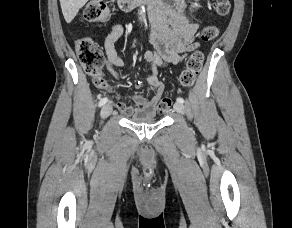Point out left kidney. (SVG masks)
<instances>
[{"instance_id": "1", "label": "left kidney", "mask_w": 292, "mask_h": 228, "mask_svg": "<svg viewBox=\"0 0 292 228\" xmlns=\"http://www.w3.org/2000/svg\"><path fill=\"white\" fill-rule=\"evenodd\" d=\"M194 5H195V6H198V4H196V3H195Z\"/></svg>"}]
</instances>
